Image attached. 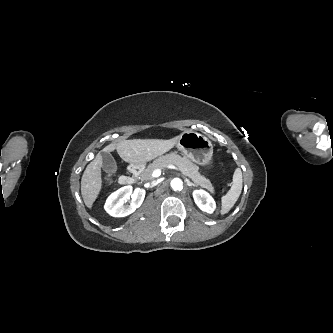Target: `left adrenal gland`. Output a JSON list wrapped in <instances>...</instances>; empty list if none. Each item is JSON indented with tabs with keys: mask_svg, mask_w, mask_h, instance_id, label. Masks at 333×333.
Masks as SVG:
<instances>
[{
	"mask_svg": "<svg viewBox=\"0 0 333 333\" xmlns=\"http://www.w3.org/2000/svg\"><path fill=\"white\" fill-rule=\"evenodd\" d=\"M185 181H186V183H187V185H188L189 187H191V186L197 187V185H195L194 183L190 182L189 179H185Z\"/></svg>",
	"mask_w": 333,
	"mask_h": 333,
	"instance_id": "left-adrenal-gland-1",
	"label": "left adrenal gland"
}]
</instances>
